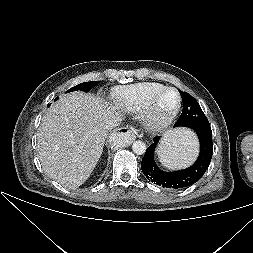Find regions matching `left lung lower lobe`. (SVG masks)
I'll return each mask as SVG.
<instances>
[{
    "instance_id": "obj_1",
    "label": "left lung lower lobe",
    "mask_w": 253,
    "mask_h": 253,
    "mask_svg": "<svg viewBox=\"0 0 253 253\" xmlns=\"http://www.w3.org/2000/svg\"><path fill=\"white\" fill-rule=\"evenodd\" d=\"M175 126H178L175 124ZM193 129L200 141V154L197 161L189 168L174 172L161 171L154 160V151L160 140L159 137L154 138L153 144H151L142 159L141 169L143 174L149 181L159 186L179 189L188 187L196 183L206 172L209 167L212 154V132L210 125H198Z\"/></svg>"
}]
</instances>
